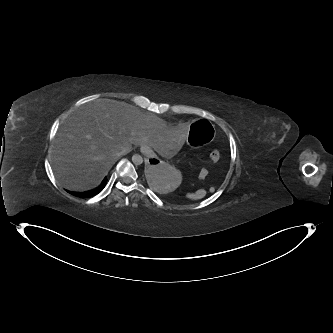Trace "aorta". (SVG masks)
<instances>
[{"label": "aorta", "instance_id": "obj_1", "mask_svg": "<svg viewBox=\"0 0 333 333\" xmlns=\"http://www.w3.org/2000/svg\"><path fill=\"white\" fill-rule=\"evenodd\" d=\"M132 162L135 164V165H141L143 163V158L141 155L139 154H134L132 156Z\"/></svg>", "mask_w": 333, "mask_h": 333}]
</instances>
